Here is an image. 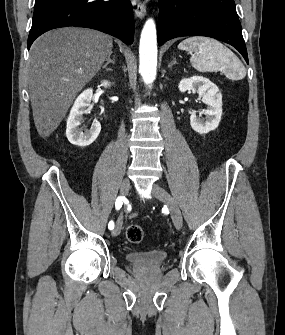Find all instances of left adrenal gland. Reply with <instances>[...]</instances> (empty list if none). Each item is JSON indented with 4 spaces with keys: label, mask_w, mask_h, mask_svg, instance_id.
<instances>
[{
    "label": "left adrenal gland",
    "mask_w": 285,
    "mask_h": 335,
    "mask_svg": "<svg viewBox=\"0 0 285 335\" xmlns=\"http://www.w3.org/2000/svg\"><path fill=\"white\" fill-rule=\"evenodd\" d=\"M173 64H177L176 58H173L172 62H170V64H168V68H172Z\"/></svg>",
    "instance_id": "obj_1"
}]
</instances>
